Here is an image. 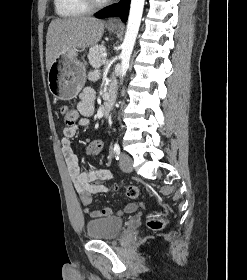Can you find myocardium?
<instances>
[{"label":"myocardium","mask_w":247,"mask_h":280,"mask_svg":"<svg viewBox=\"0 0 247 280\" xmlns=\"http://www.w3.org/2000/svg\"><path fill=\"white\" fill-rule=\"evenodd\" d=\"M90 8H99L106 5L110 0H84Z\"/></svg>","instance_id":"myocardium-1"}]
</instances>
